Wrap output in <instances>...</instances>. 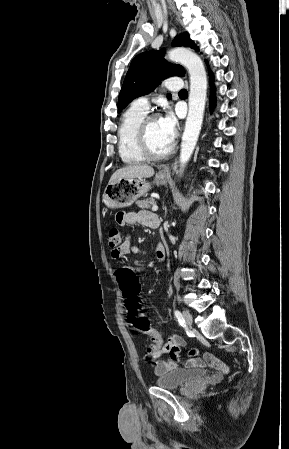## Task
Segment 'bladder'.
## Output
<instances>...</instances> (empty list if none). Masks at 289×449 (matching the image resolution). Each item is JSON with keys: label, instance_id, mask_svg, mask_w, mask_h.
Listing matches in <instances>:
<instances>
[{"label": "bladder", "instance_id": "bladder-1", "mask_svg": "<svg viewBox=\"0 0 289 449\" xmlns=\"http://www.w3.org/2000/svg\"><path fill=\"white\" fill-rule=\"evenodd\" d=\"M207 374L204 369L176 368L159 375L155 383L163 389H178L200 380Z\"/></svg>", "mask_w": 289, "mask_h": 449}]
</instances>
